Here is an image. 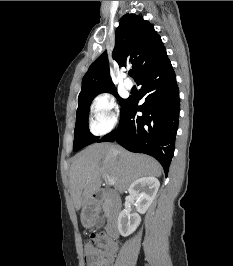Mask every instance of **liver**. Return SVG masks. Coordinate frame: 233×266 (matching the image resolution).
Masks as SVG:
<instances>
[{
    "label": "liver",
    "mask_w": 233,
    "mask_h": 266,
    "mask_svg": "<svg viewBox=\"0 0 233 266\" xmlns=\"http://www.w3.org/2000/svg\"><path fill=\"white\" fill-rule=\"evenodd\" d=\"M161 165L152 157L131 153L112 143H96L77 154L70 169V194L76 210H80L99 191L102 178L115 179V189L126 191L141 177L161 176ZM95 218L82 219L91 227Z\"/></svg>",
    "instance_id": "6515ba94"
}]
</instances>
